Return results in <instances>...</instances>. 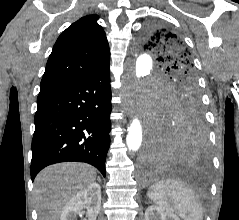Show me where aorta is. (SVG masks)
I'll return each mask as SVG.
<instances>
[{
	"label": "aorta",
	"instance_id": "aorta-1",
	"mask_svg": "<svg viewBox=\"0 0 239 220\" xmlns=\"http://www.w3.org/2000/svg\"><path fill=\"white\" fill-rule=\"evenodd\" d=\"M136 65L134 72L135 81H143L148 78H152V59L148 55V52L138 56L136 59ZM143 137L142 124L138 118H134L128 128V134L126 137V144L129 151L136 152L139 150Z\"/></svg>",
	"mask_w": 239,
	"mask_h": 220
}]
</instances>
